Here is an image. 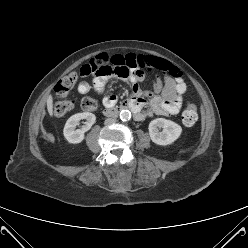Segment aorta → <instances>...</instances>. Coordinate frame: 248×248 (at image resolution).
<instances>
[{"instance_id":"762f6f07","label":"aorta","mask_w":248,"mask_h":248,"mask_svg":"<svg viewBox=\"0 0 248 248\" xmlns=\"http://www.w3.org/2000/svg\"><path fill=\"white\" fill-rule=\"evenodd\" d=\"M119 116L122 121H128L131 118V112L129 110L124 109L120 111Z\"/></svg>"}]
</instances>
